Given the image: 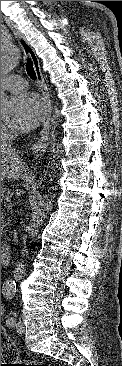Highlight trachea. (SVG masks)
<instances>
[{
	"mask_svg": "<svg viewBox=\"0 0 122 366\" xmlns=\"http://www.w3.org/2000/svg\"><path fill=\"white\" fill-rule=\"evenodd\" d=\"M26 71H27V74L29 75V77L31 79L36 80V78H37L36 73H35V70H34L33 63H32L30 58H28V61H27Z\"/></svg>",
	"mask_w": 122,
	"mask_h": 366,
	"instance_id": "3493384b",
	"label": "trachea"
}]
</instances>
